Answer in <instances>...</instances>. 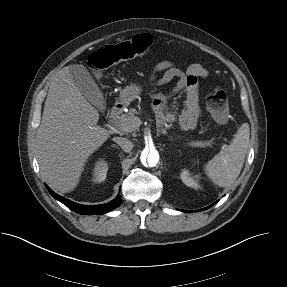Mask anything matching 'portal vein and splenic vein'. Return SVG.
I'll list each match as a JSON object with an SVG mask.
<instances>
[{"instance_id": "18ae733b", "label": "portal vein and splenic vein", "mask_w": 287, "mask_h": 287, "mask_svg": "<svg viewBox=\"0 0 287 287\" xmlns=\"http://www.w3.org/2000/svg\"><path fill=\"white\" fill-rule=\"evenodd\" d=\"M136 120H139V118H136ZM191 147H205L204 142L202 141H195L189 144Z\"/></svg>"}]
</instances>
